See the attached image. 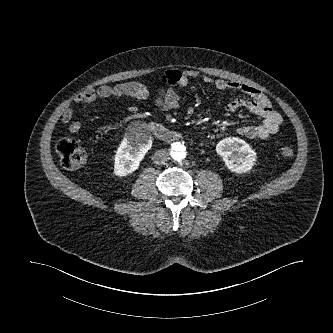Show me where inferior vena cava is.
<instances>
[{
  "mask_svg": "<svg viewBox=\"0 0 333 333\" xmlns=\"http://www.w3.org/2000/svg\"><path fill=\"white\" fill-rule=\"evenodd\" d=\"M152 160L158 165H163L170 160L168 152L164 150L157 151L153 154Z\"/></svg>",
  "mask_w": 333,
  "mask_h": 333,
  "instance_id": "1",
  "label": "inferior vena cava"
}]
</instances>
